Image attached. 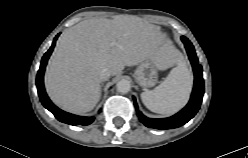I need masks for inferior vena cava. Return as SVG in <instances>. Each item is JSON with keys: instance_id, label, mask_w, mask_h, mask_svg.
<instances>
[{"instance_id": "602c4592", "label": "inferior vena cava", "mask_w": 248, "mask_h": 158, "mask_svg": "<svg viewBox=\"0 0 248 158\" xmlns=\"http://www.w3.org/2000/svg\"><path fill=\"white\" fill-rule=\"evenodd\" d=\"M111 76V70L108 68H103L100 71L99 77L102 81H106L109 79V77Z\"/></svg>"}]
</instances>
